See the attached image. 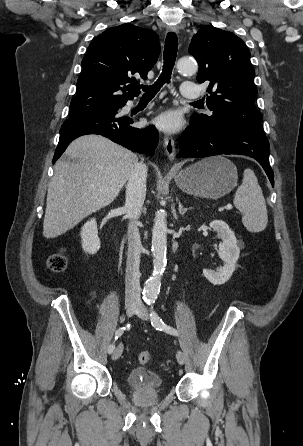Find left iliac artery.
<instances>
[{"instance_id":"obj_1","label":"left iliac artery","mask_w":303,"mask_h":446,"mask_svg":"<svg viewBox=\"0 0 303 446\" xmlns=\"http://www.w3.org/2000/svg\"><path fill=\"white\" fill-rule=\"evenodd\" d=\"M155 300L151 299L147 301V304L150 307L151 313H150V318H151V324L152 326L160 331H165L171 335H178V332L175 328L166 325L162 319L158 316V314L156 313V311L153 308V304H154Z\"/></svg>"}]
</instances>
